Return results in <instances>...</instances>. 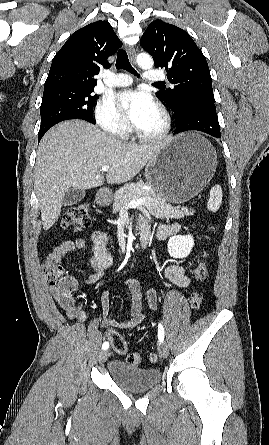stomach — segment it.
Returning <instances> with one entry per match:
<instances>
[{"label": "stomach", "mask_w": 269, "mask_h": 445, "mask_svg": "<svg viewBox=\"0 0 269 445\" xmlns=\"http://www.w3.org/2000/svg\"><path fill=\"white\" fill-rule=\"evenodd\" d=\"M216 167L213 146L199 134L183 133L170 138L148 161L145 178L155 194L167 202L180 204L203 190ZM96 202L109 205L111 194L98 193Z\"/></svg>", "instance_id": "0dacf381"}]
</instances>
